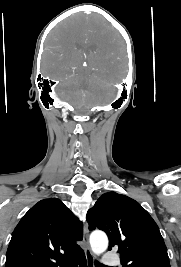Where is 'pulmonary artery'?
Here are the masks:
<instances>
[{
    "instance_id": "pulmonary-artery-1",
    "label": "pulmonary artery",
    "mask_w": 181,
    "mask_h": 267,
    "mask_svg": "<svg viewBox=\"0 0 181 267\" xmlns=\"http://www.w3.org/2000/svg\"><path fill=\"white\" fill-rule=\"evenodd\" d=\"M118 261L119 260L117 258H115L109 254H105L103 256V264H105V265H115L118 263Z\"/></svg>"
}]
</instances>
